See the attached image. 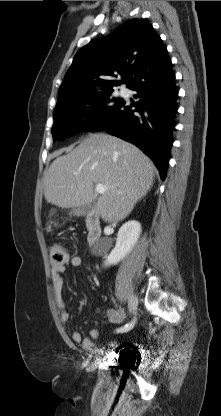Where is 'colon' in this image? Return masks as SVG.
<instances>
[{
	"label": "colon",
	"mask_w": 221,
	"mask_h": 416,
	"mask_svg": "<svg viewBox=\"0 0 221 416\" xmlns=\"http://www.w3.org/2000/svg\"><path fill=\"white\" fill-rule=\"evenodd\" d=\"M50 262L53 265H62L68 259L67 249L60 243H52L49 247Z\"/></svg>",
	"instance_id": "1"
}]
</instances>
